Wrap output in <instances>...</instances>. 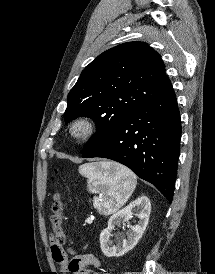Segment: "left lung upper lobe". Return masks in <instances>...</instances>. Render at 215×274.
I'll return each instance as SVG.
<instances>
[{
    "instance_id": "5c2ea615",
    "label": "left lung upper lobe",
    "mask_w": 215,
    "mask_h": 274,
    "mask_svg": "<svg viewBox=\"0 0 215 274\" xmlns=\"http://www.w3.org/2000/svg\"><path fill=\"white\" fill-rule=\"evenodd\" d=\"M161 56L144 42H127L95 58L67 97L64 119L86 116L97 126L82 153L104 138L132 111L170 85Z\"/></svg>"
}]
</instances>
